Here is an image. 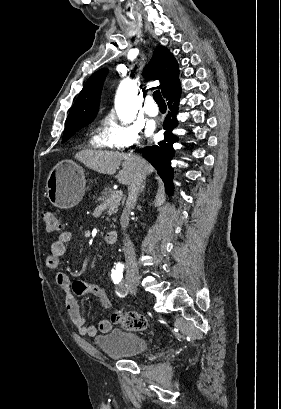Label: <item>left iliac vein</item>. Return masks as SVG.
I'll use <instances>...</instances> for the list:
<instances>
[{"label":"left iliac vein","instance_id":"obj_1","mask_svg":"<svg viewBox=\"0 0 281 409\" xmlns=\"http://www.w3.org/2000/svg\"><path fill=\"white\" fill-rule=\"evenodd\" d=\"M130 293H131L132 295H135V294H136V289H134V288H132V287L130 286Z\"/></svg>","mask_w":281,"mask_h":409}]
</instances>
